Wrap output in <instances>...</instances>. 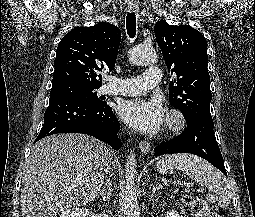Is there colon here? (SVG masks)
Returning a JSON list of instances; mask_svg holds the SVG:
<instances>
[{"label": "colon", "instance_id": "colon-1", "mask_svg": "<svg viewBox=\"0 0 255 217\" xmlns=\"http://www.w3.org/2000/svg\"><path fill=\"white\" fill-rule=\"evenodd\" d=\"M192 213L196 217H221L213 208L202 198L189 197L186 199Z\"/></svg>", "mask_w": 255, "mask_h": 217}]
</instances>
